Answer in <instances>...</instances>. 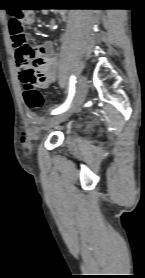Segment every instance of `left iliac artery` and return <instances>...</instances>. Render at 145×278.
Wrapping results in <instances>:
<instances>
[{"instance_id":"44dca946","label":"left iliac artery","mask_w":145,"mask_h":278,"mask_svg":"<svg viewBox=\"0 0 145 278\" xmlns=\"http://www.w3.org/2000/svg\"><path fill=\"white\" fill-rule=\"evenodd\" d=\"M75 76H71L70 78V86H69V91H68V97L66 99V101L58 108L54 109L51 114L52 115H57L60 114L62 112H64L71 104V101L74 97L75 94Z\"/></svg>"}]
</instances>
